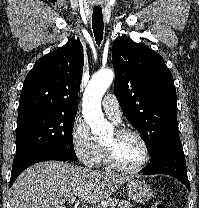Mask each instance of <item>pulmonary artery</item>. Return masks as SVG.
I'll use <instances>...</instances> for the list:
<instances>
[{"instance_id":"obj_1","label":"pulmonary artery","mask_w":199,"mask_h":208,"mask_svg":"<svg viewBox=\"0 0 199 208\" xmlns=\"http://www.w3.org/2000/svg\"><path fill=\"white\" fill-rule=\"evenodd\" d=\"M102 108L106 115L116 124L121 121V111L119 103L113 93L105 95L102 100Z\"/></svg>"}]
</instances>
